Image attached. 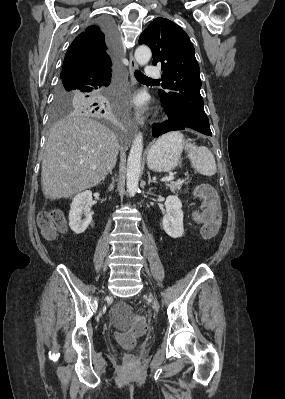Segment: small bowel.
Returning <instances> with one entry per match:
<instances>
[{
  "label": "small bowel",
  "instance_id": "obj_1",
  "mask_svg": "<svg viewBox=\"0 0 285 399\" xmlns=\"http://www.w3.org/2000/svg\"><path fill=\"white\" fill-rule=\"evenodd\" d=\"M214 202L217 203V202H216V199H214ZM195 219H196L199 223H201V224H206V223L211 219V217H210V215L207 214L206 212L201 211L200 213H197V214L195 215ZM120 307H122V306L116 307V308L113 310V312H112V318H113L114 320H115L116 318H118V316H119V309H120Z\"/></svg>",
  "mask_w": 285,
  "mask_h": 399
}]
</instances>
